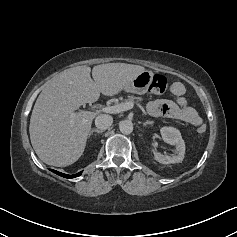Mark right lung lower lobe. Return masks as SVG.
Listing matches in <instances>:
<instances>
[{
  "label": "right lung lower lobe",
  "instance_id": "right-lung-lower-lobe-1",
  "mask_svg": "<svg viewBox=\"0 0 237 237\" xmlns=\"http://www.w3.org/2000/svg\"><path fill=\"white\" fill-rule=\"evenodd\" d=\"M51 171L54 172V173H56V174H58V175H60V176H62V177H65V178H74V177H78V176H80L81 173H82V172H79V173L74 174V175H67V174H64V173H61V172H58V171L52 170V169H51Z\"/></svg>",
  "mask_w": 237,
  "mask_h": 237
}]
</instances>
